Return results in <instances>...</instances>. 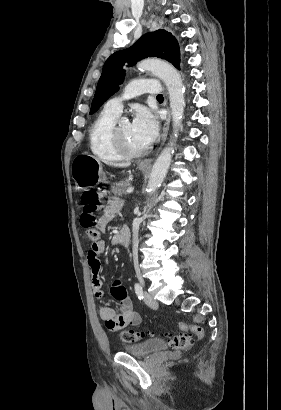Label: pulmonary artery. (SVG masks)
Wrapping results in <instances>:
<instances>
[{
    "label": "pulmonary artery",
    "mask_w": 281,
    "mask_h": 410,
    "mask_svg": "<svg viewBox=\"0 0 281 410\" xmlns=\"http://www.w3.org/2000/svg\"><path fill=\"white\" fill-rule=\"evenodd\" d=\"M162 88L158 82L149 79H136L128 83L121 96L110 99L106 106L116 112H121L123 101L142 93L159 94Z\"/></svg>",
    "instance_id": "pulmonary-artery-1"
}]
</instances>
